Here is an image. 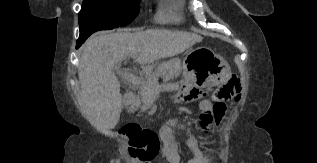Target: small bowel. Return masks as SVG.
Instances as JSON below:
<instances>
[{
	"mask_svg": "<svg viewBox=\"0 0 317 163\" xmlns=\"http://www.w3.org/2000/svg\"><path fill=\"white\" fill-rule=\"evenodd\" d=\"M184 94L180 96V99H183ZM203 102H208L204 100ZM202 102V103H203ZM225 120V111L218 119L217 123H222ZM180 127L185 129L187 132V146L192 152V157L188 160L187 163H210V157L206 150H204L197 137L191 132L189 128H186L182 123L177 120H172L165 124L160 129V138H161V157L168 163H181V156L179 154V144L176 138L174 137V129ZM90 163V162H88Z\"/></svg>",
	"mask_w": 317,
	"mask_h": 163,
	"instance_id": "obj_1",
	"label": "small bowel"
}]
</instances>
